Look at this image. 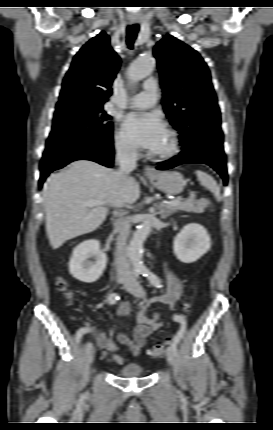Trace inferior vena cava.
Returning a JSON list of instances; mask_svg holds the SVG:
<instances>
[{"label": "inferior vena cava", "mask_w": 273, "mask_h": 430, "mask_svg": "<svg viewBox=\"0 0 273 430\" xmlns=\"http://www.w3.org/2000/svg\"><path fill=\"white\" fill-rule=\"evenodd\" d=\"M137 151L133 148H118L116 153V163L119 165V170L117 172V177L121 182H125L131 171L136 168L137 161ZM124 204L119 203L118 206L122 207ZM131 227L130 217H123L117 225L118 240H117V275L120 278H126L129 280H134L133 274L130 271V264L127 255L126 241L129 235Z\"/></svg>", "instance_id": "obj_1"}]
</instances>
